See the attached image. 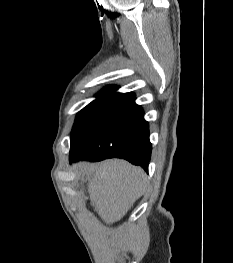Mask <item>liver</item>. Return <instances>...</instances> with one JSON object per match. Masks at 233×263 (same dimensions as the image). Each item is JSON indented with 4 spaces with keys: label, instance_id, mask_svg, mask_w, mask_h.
Masks as SVG:
<instances>
[{
    "label": "liver",
    "instance_id": "obj_1",
    "mask_svg": "<svg viewBox=\"0 0 233 263\" xmlns=\"http://www.w3.org/2000/svg\"><path fill=\"white\" fill-rule=\"evenodd\" d=\"M76 168L92 177L88 186L90 200L107 224L119 221L147 188L145 172L125 160L79 163Z\"/></svg>",
    "mask_w": 233,
    "mask_h": 263
}]
</instances>
